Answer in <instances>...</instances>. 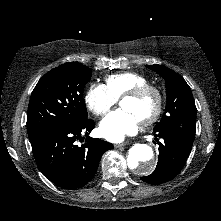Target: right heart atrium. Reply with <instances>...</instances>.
<instances>
[{"mask_svg": "<svg viewBox=\"0 0 221 221\" xmlns=\"http://www.w3.org/2000/svg\"><path fill=\"white\" fill-rule=\"evenodd\" d=\"M85 103L94 115L103 116L117 103V99L105 85L93 84L86 92Z\"/></svg>", "mask_w": 221, "mask_h": 221, "instance_id": "right-heart-atrium-1", "label": "right heart atrium"}]
</instances>
